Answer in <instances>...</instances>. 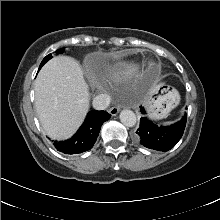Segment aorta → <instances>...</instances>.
<instances>
[{"mask_svg":"<svg viewBox=\"0 0 220 220\" xmlns=\"http://www.w3.org/2000/svg\"><path fill=\"white\" fill-rule=\"evenodd\" d=\"M120 121L126 127H133L136 124V115L131 110H122L120 113Z\"/></svg>","mask_w":220,"mask_h":220,"instance_id":"aorta-1","label":"aorta"}]
</instances>
